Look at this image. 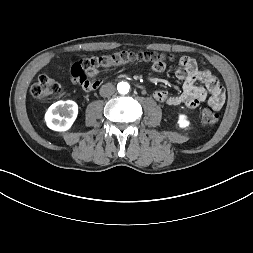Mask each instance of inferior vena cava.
<instances>
[{
    "instance_id": "obj_1",
    "label": "inferior vena cava",
    "mask_w": 253,
    "mask_h": 253,
    "mask_svg": "<svg viewBox=\"0 0 253 253\" xmlns=\"http://www.w3.org/2000/svg\"><path fill=\"white\" fill-rule=\"evenodd\" d=\"M115 93V86L111 83L104 84L100 88V95L102 97H110Z\"/></svg>"
}]
</instances>
